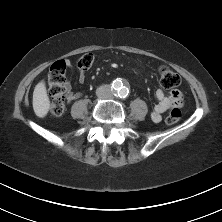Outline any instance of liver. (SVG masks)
Here are the masks:
<instances>
[{
  "instance_id": "1",
  "label": "liver",
  "mask_w": 222,
  "mask_h": 222,
  "mask_svg": "<svg viewBox=\"0 0 222 222\" xmlns=\"http://www.w3.org/2000/svg\"><path fill=\"white\" fill-rule=\"evenodd\" d=\"M50 108V100L47 94L44 81H40L34 88L33 92V109L39 118H44Z\"/></svg>"
}]
</instances>
